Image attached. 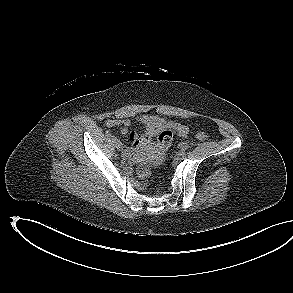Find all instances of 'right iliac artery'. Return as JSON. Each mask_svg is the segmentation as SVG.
Masks as SVG:
<instances>
[{
  "mask_svg": "<svg viewBox=\"0 0 293 293\" xmlns=\"http://www.w3.org/2000/svg\"><path fill=\"white\" fill-rule=\"evenodd\" d=\"M106 134L111 137V139L114 141L116 140V137L115 136H112L111 133L109 131H106Z\"/></svg>",
  "mask_w": 293,
  "mask_h": 293,
  "instance_id": "obj_1",
  "label": "right iliac artery"
}]
</instances>
